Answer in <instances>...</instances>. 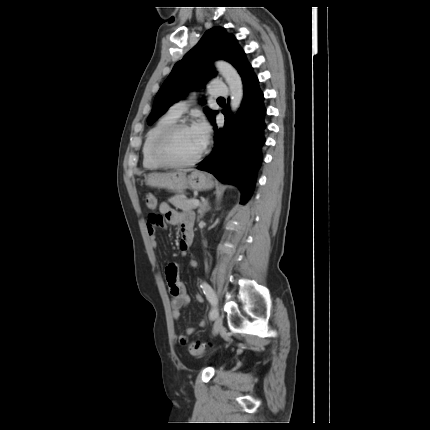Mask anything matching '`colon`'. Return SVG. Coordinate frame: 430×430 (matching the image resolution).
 <instances>
[{"label":"colon","mask_w":430,"mask_h":430,"mask_svg":"<svg viewBox=\"0 0 430 430\" xmlns=\"http://www.w3.org/2000/svg\"><path fill=\"white\" fill-rule=\"evenodd\" d=\"M146 204L150 209H155L156 207V199L150 193L146 194ZM154 216L157 217L158 215H154ZM188 350L190 354L193 356L203 355V353L205 352V344L201 341H194L189 345Z\"/></svg>","instance_id":"1"}]
</instances>
